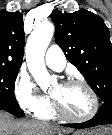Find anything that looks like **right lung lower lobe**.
<instances>
[{
    "mask_svg": "<svg viewBox=\"0 0 112 135\" xmlns=\"http://www.w3.org/2000/svg\"><path fill=\"white\" fill-rule=\"evenodd\" d=\"M0 110L7 111L12 115L22 117L24 115L23 111L20 109L19 105H9V104H0Z\"/></svg>",
    "mask_w": 112,
    "mask_h": 135,
    "instance_id": "1",
    "label": "right lung lower lobe"
}]
</instances>
